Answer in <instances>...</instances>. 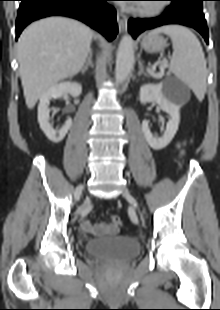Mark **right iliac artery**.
<instances>
[{
	"instance_id": "82829eb1",
	"label": "right iliac artery",
	"mask_w": 220,
	"mask_h": 310,
	"mask_svg": "<svg viewBox=\"0 0 220 310\" xmlns=\"http://www.w3.org/2000/svg\"><path fill=\"white\" fill-rule=\"evenodd\" d=\"M82 189H83V186L82 185H79L77 188H76V191H75V197L76 199H79V196L82 192Z\"/></svg>"
}]
</instances>
